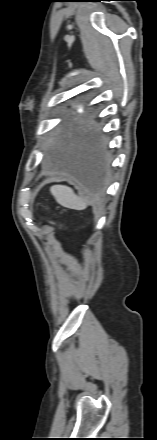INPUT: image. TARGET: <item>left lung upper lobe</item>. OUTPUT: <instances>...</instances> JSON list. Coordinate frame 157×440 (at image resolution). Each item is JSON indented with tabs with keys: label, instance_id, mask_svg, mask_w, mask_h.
<instances>
[{
	"label": "left lung upper lobe",
	"instance_id": "obj_1",
	"mask_svg": "<svg viewBox=\"0 0 157 440\" xmlns=\"http://www.w3.org/2000/svg\"><path fill=\"white\" fill-rule=\"evenodd\" d=\"M89 130H90V127H89V126H86V127H84V128L80 131V133H81V134H87V133H90Z\"/></svg>",
	"mask_w": 157,
	"mask_h": 440
}]
</instances>
